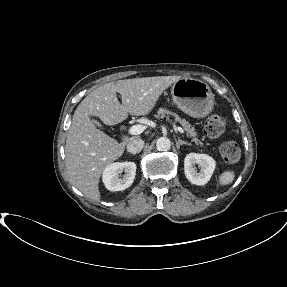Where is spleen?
I'll return each mask as SVG.
<instances>
[{
  "label": "spleen",
  "mask_w": 287,
  "mask_h": 287,
  "mask_svg": "<svg viewBox=\"0 0 287 287\" xmlns=\"http://www.w3.org/2000/svg\"><path fill=\"white\" fill-rule=\"evenodd\" d=\"M235 178V173L234 171H224L220 176H219V184L221 186H226V185H229L230 183L233 182Z\"/></svg>",
  "instance_id": "3e777b00"
}]
</instances>
